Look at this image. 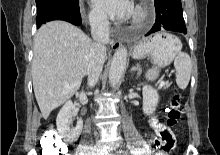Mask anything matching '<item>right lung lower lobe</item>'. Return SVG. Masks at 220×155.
<instances>
[{"mask_svg":"<svg viewBox=\"0 0 220 155\" xmlns=\"http://www.w3.org/2000/svg\"><path fill=\"white\" fill-rule=\"evenodd\" d=\"M52 20H64L72 23L73 25H82L79 8L70 9L64 7H57L37 14V28H39L42 24Z\"/></svg>","mask_w":220,"mask_h":155,"instance_id":"right-lung-lower-lobe-1","label":"right lung lower lobe"}]
</instances>
